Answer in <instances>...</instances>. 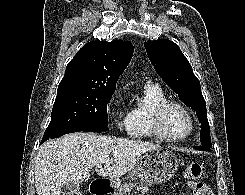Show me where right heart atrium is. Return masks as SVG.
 I'll return each mask as SVG.
<instances>
[{
  "mask_svg": "<svg viewBox=\"0 0 245 195\" xmlns=\"http://www.w3.org/2000/svg\"><path fill=\"white\" fill-rule=\"evenodd\" d=\"M107 112L118 132H128V111L123 105V98L119 92H115L107 102Z\"/></svg>",
  "mask_w": 245,
  "mask_h": 195,
  "instance_id": "obj_1",
  "label": "right heart atrium"
}]
</instances>
